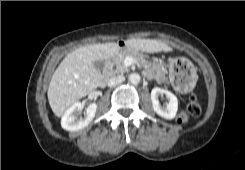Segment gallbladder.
<instances>
[{
	"instance_id": "bac80fb5",
	"label": "gallbladder",
	"mask_w": 245,
	"mask_h": 170,
	"mask_svg": "<svg viewBox=\"0 0 245 170\" xmlns=\"http://www.w3.org/2000/svg\"><path fill=\"white\" fill-rule=\"evenodd\" d=\"M94 66L99 69V70H102L104 68V62L103 61H95L94 62Z\"/></svg>"
}]
</instances>
